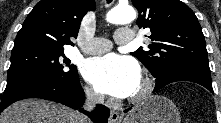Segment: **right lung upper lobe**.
<instances>
[{
    "mask_svg": "<svg viewBox=\"0 0 221 123\" xmlns=\"http://www.w3.org/2000/svg\"><path fill=\"white\" fill-rule=\"evenodd\" d=\"M94 8L93 0H41L24 21L12 52L64 50V45H73L70 38L77 37L83 16Z\"/></svg>",
    "mask_w": 221,
    "mask_h": 123,
    "instance_id": "1",
    "label": "right lung upper lobe"
}]
</instances>
